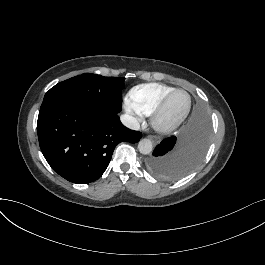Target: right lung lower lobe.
I'll return each instance as SVG.
<instances>
[{"label": "right lung lower lobe", "instance_id": "1", "mask_svg": "<svg viewBox=\"0 0 265 265\" xmlns=\"http://www.w3.org/2000/svg\"><path fill=\"white\" fill-rule=\"evenodd\" d=\"M37 133L51 168L73 183L97 180L120 142L136 143L142 137L140 132L126 128L118 114L99 112L72 100L56 101L40 109Z\"/></svg>", "mask_w": 265, "mask_h": 265}]
</instances>
